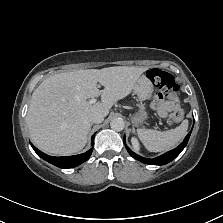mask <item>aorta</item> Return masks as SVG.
<instances>
[{
  "instance_id": "762f6f07",
  "label": "aorta",
  "mask_w": 223,
  "mask_h": 223,
  "mask_svg": "<svg viewBox=\"0 0 223 223\" xmlns=\"http://www.w3.org/2000/svg\"><path fill=\"white\" fill-rule=\"evenodd\" d=\"M110 126L115 131H121L125 127V122L122 118H114L110 122Z\"/></svg>"
}]
</instances>
